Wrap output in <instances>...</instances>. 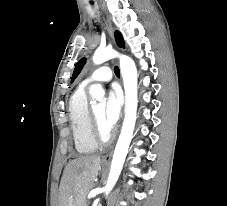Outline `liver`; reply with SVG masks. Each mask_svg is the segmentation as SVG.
<instances>
[{"label":"liver","mask_w":227,"mask_h":206,"mask_svg":"<svg viewBox=\"0 0 227 206\" xmlns=\"http://www.w3.org/2000/svg\"><path fill=\"white\" fill-rule=\"evenodd\" d=\"M100 170L99 156H80L70 161L60 182L58 206H83Z\"/></svg>","instance_id":"1"}]
</instances>
